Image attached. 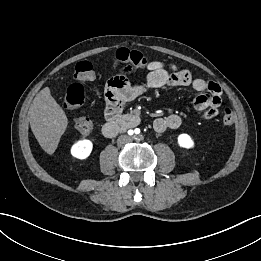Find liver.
Here are the masks:
<instances>
[{"label":"liver","mask_w":261,"mask_h":261,"mask_svg":"<svg viewBox=\"0 0 261 261\" xmlns=\"http://www.w3.org/2000/svg\"><path fill=\"white\" fill-rule=\"evenodd\" d=\"M29 117L31 130L41 148L47 154H53L67 128L68 119L51 96L49 87L43 88L35 96L29 108Z\"/></svg>","instance_id":"1"}]
</instances>
